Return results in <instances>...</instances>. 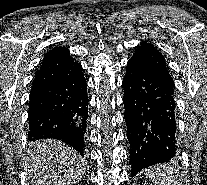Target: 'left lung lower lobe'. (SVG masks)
<instances>
[{
  "instance_id": "1",
  "label": "left lung lower lobe",
  "mask_w": 207,
  "mask_h": 185,
  "mask_svg": "<svg viewBox=\"0 0 207 185\" xmlns=\"http://www.w3.org/2000/svg\"><path fill=\"white\" fill-rule=\"evenodd\" d=\"M123 87L133 177L177 154L175 86L158 75L127 66Z\"/></svg>"
}]
</instances>
